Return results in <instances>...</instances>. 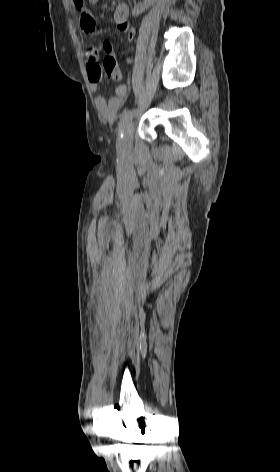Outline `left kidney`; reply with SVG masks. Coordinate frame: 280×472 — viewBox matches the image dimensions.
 Here are the masks:
<instances>
[{"label": "left kidney", "mask_w": 280, "mask_h": 472, "mask_svg": "<svg viewBox=\"0 0 280 472\" xmlns=\"http://www.w3.org/2000/svg\"><path fill=\"white\" fill-rule=\"evenodd\" d=\"M153 1L154 0H144L142 4H138L137 6L134 7L132 14L138 15L139 13H142L143 11H145V9H147L153 3Z\"/></svg>", "instance_id": "1"}]
</instances>
